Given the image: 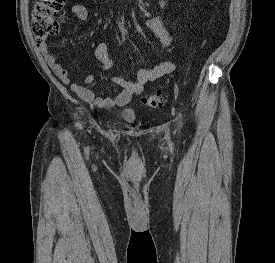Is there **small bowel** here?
<instances>
[{
  "mask_svg": "<svg viewBox=\"0 0 275 263\" xmlns=\"http://www.w3.org/2000/svg\"><path fill=\"white\" fill-rule=\"evenodd\" d=\"M162 4L164 5L165 2L163 1ZM70 12L80 21H86L89 17L88 7L84 4L72 5L70 7ZM144 25L155 34L164 48H169L171 46L173 41L172 36L159 17L155 15L148 16ZM38 48L51 70L65 85L69 86L82 100L94 103L97 107L103 109L127 105L133 96L143 93L146 84L164 76H168L176 70L174 62L162 61L153 68H141L138 71L136 81L127 80L115 72L114 61L110 55L108 44L106 42H99L95 47V54L101 62L100 71L109 72L110 82L121 87L122 91L115 98L96 97L87 85L95 82L98 74L88 75L83 84L74 83L69 72L62 66L60 58L50 52L45 42L40 43Z\"/></svg>",
  "mask_w": 275,
  "mask_h": 263,
  "instance_id": "1",
  "label": "small bowel"
}]
</instances>
